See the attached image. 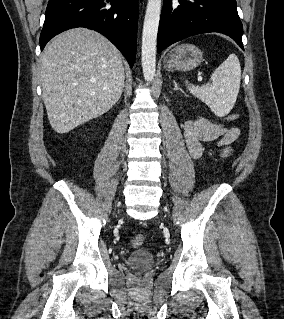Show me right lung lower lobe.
Masks as SVG:
<instances>
[{"label": "right lung lower lobe", "instance_id": "1", "mask_svg": "<svg viewBox=\"0 0 284 319\" xmlns=\"http://www.w3.org/2000/svg\"><path fill=\"white\" fill-rule=\"evenodd\" d=\"M137 23L138 0H49L40 48L65 30L85 27L108 38L133 67Z\"/></svg>", "mask_w": 284, "mask_h": 319}]
</instances>
